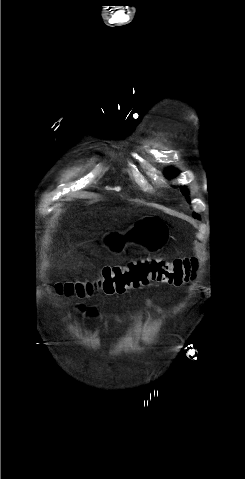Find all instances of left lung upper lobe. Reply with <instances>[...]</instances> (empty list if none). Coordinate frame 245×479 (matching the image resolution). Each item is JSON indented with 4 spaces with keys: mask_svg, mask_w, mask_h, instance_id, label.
Instances as JSON below:
<instances>
[{
    "mask_svg": "<svg viewBox=\"0 0 245 479\" xmlns=\"http://www.w3.org/2000/svg\"><path fill=\"white\" fill-rule=\"evenodd\" d=\"M166 174H167V176H169V177L175 176V172H174V171H169V170H168V171H166ZM183 194H184V195H187V192H186V191H183ZM193 217L198 218V215L194 213V214H193Z\"/></svg>",
    "mask_w": 245,
    "mask_h": 479,
    "instance_id": "obj_1",
    "label": "left lung upper lobe"
}]
</instances>
